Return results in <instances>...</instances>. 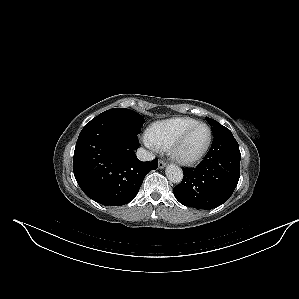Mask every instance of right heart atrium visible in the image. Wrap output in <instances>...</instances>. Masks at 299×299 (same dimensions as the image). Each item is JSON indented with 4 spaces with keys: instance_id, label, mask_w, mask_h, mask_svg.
Masks as SVG:
<instances>
[{
    "instance_id": "1",
    "label": "right heart atrium",
    "mask_w": 299,
    "mask_h": 299,
    "mask_svg": "<svg viewBox=\"0 0 299 299\" xmlns=\"http://www.w3.org/2000/svg\"><path fill=\"white\" fill-rule=\"evenodd\" d=\"M144 142H145V144L148 146V147H150V148H155L156 146L148 139V138H145L144 139Z\"/></svg>"
}]
</instances>
